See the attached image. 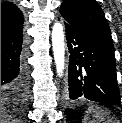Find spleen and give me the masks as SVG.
Returning a JSON list of instances; mask_svg holds the SVG:
<instances>
[{
    "label": "spleen",
    "mask_w": 122,
    "mask_h": 123,
    "mask_svg": "<svg viewBox=\"0 0 122 123\" xmlns=\"http://www.w3.org/2000/svg\"><path fill=\"white\" fill-rule=\"evenodd\" d=\"M107 118L108 113L106 111L97 106H90L86 111L83 123H101L105 120H107L106 123H109L110 120Z\"/></svg>",
    "instance_id": "1"
}]
</instances>
